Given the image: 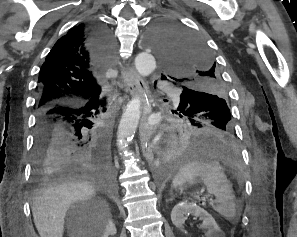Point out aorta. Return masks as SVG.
Returning a JSON list of instances; mask_svg holds the SVG:
<instances>
[{"label":"aorta","instance_id":"762f6f07","mask_svg":"<svg viewBox=\"0 0 297 237\" xmlns=\"http://www.w3.org/2000/svg\"><path fill=\"white\" fill-rule=\"evenodd\" d=\"M148 43L153 42L148 39ZM135 68L139 75L146 77L156 68V61L153 55L148 52L139 53L135 58ZM141 115V100L133 98L127 105L118 128L117 145L119 151H124L128 146V141L134 135Z\"/></svg>","mask_w":297,"mask_h":237}]
</instances>
